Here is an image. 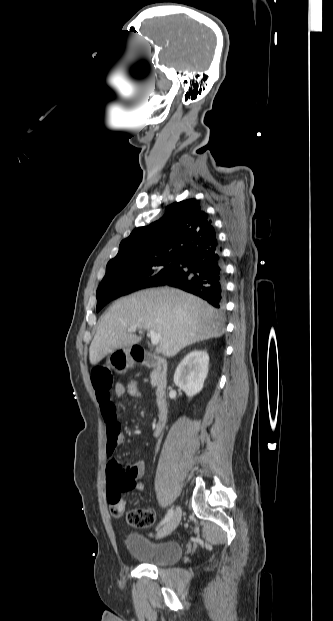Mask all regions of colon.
Returning a JSON list of instances; mask_svg holds the SVG:
<instances>
[{"mask_svg":"<svg viewBox=\"0 0 333 621\" xmlns=\"http://www.w3.org/2000/svg\"><path fill=\"white\" fill-rule=\"evenodd\" d=\"M124 396L131 399H138L140 396V385L135 379L128 381L124 385ZM108 482L119 491H130L134 487V479L130 473L124 469L117 461H112L107 467ZM113 516H121L124 512V506L117 503L110 507ZM154 514L147 510L136 508L127 513V522L135 528H146L154 524Z\"/></svg>","mask_w":333,"mask_h":621,"instance_id":"5ec220e1","label":"colon"}]
</instances>
